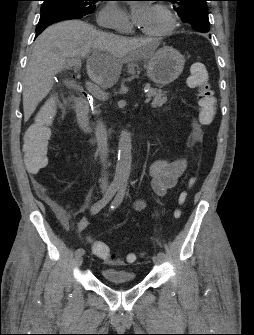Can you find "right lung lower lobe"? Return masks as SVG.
I'll return each mask as SVG.
<instances>
[{"label":"right lung lower lobe","mask_w":254,"mask_h":335,"mask_svg":"<svg viewBox=\"0 0 254 335\" xmlns=\"http://www.w3.org/2000/svg\"><path fill=\"white\" fill-rule=\"evenodd\" d=\"M83 16H79L75 13L67 10L53 9L41 13L38 25L36 27V36L39 35L46 27L62 20L69 19H80Z\"/></svg>","instance_id":"obj_1"}]
</instances>
